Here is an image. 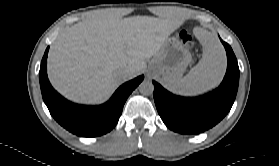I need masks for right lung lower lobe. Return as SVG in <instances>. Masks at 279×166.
Returning <instances> with one entry per match:
<instances>
[{
	"mask_svg": "<svg viewBox=\"0 0 279 166\" xmlns=\"http://www.w3.org/2000/svg\"><path fill=\"white\" fill-rule=\"evenodd\" d=\"M48 49L41 61L39 81L43 100L53 118L68 131L82 137H96L112 130L119 120L125 101L144 76L124 83L105 104H74L60 96L49 83L46 72Z\"/></svg>",
	"mask_w": 279,
	"mask_h": 166,
	"instance_id": "1",
	"label": "right lung lower lobe"
}]
</instances>
